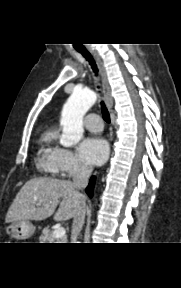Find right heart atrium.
Segmentation results:
<instances>
[{"instance_id":"right-heart-atrium-1","label":"right heart atrium","mask_w":181,"mask_h":288,"mask_svg":"<svg viewBox=\"0 0 181 288\" xmlns=\"http://www.w3.org/2000/svg\"><path fill=\"white\" fill-rule=\"evenodd\" d=\"M54 159L56 168L53 172L59 176L72 177L89 171V167L78 155L67 148L56 147Z\"/></svg>"}]
</instances>
